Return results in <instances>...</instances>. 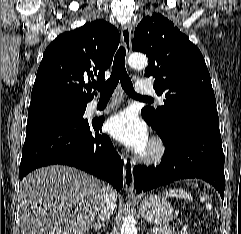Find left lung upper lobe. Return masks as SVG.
Instances as JSON below:
<instances>
[{"mask_svg": "<svg viewBox=\"0 0 241 234\" xmlns=\"http://www.w3.org/2000/svg\"><path fill=\"white\" fill-rule=\"evenodd\" d=\"M134 51L148 56L146 77L154 78V89L165 95L156 110L145 107L142 117L162 140L182 122L198 121L219 126L210 74L200 50L163 15L154 13L137 26Z\"/></svg>", "mask_w": 241, "mask_h": 234, "instance_id": "1", "label": "left lung upper lobe"}]
</instances>
